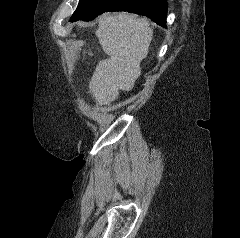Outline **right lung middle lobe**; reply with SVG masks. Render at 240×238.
Instances as JSON below:
<instances>
[{
	"instance_id": "right-lung-middle-lobe-1",
	"label": "right lung middle lobe",
	"mask_w": 240,
	"mask_h": 238,
	"mask_svg": "<svg viewBox=\"0 0 240 238\" xmlns=\"http://www.w3.org/2000/svg\"><path fill=\"white\" fill-rule=\"evenodd\" d=\"M120 0H79L78 7L71 17V21H90L103 12L109 11Z\"/></svg>"
}]
</instances>
